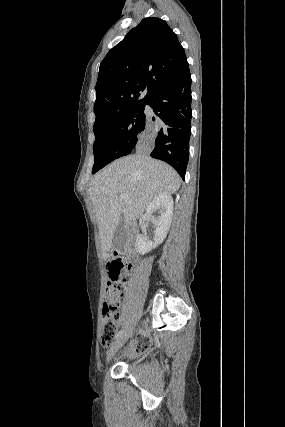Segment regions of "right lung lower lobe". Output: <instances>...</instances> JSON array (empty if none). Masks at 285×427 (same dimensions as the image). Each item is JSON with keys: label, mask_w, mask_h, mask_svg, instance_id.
Here are the masks:
<instances>
[{"label": "right lung lower lobe", "mask_w": 285, "mask_h": 427, "mask_svg": "<svg viewBox=\"0 0 285 427\" xmlns=\"http://www.w3.org/2000/svg\"><path fill=\"white\" fill-rule=\"evenodd\" d=\"M191 75L185 74L175 84L155 94L148 105L158 117L152 132L154 140L150 156L170 164L185 179L191 135ZM155 121L154 118H152ZM147 116L143 132L148 131Z\"/></svg>", "instance_id": "1"}]
</instances>
